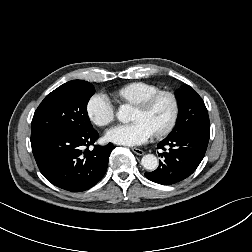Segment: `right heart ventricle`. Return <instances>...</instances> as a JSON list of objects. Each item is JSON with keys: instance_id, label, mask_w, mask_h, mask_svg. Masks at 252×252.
<instances>
[{"instance_id": "right-heart-ventricle-1", "label": "right heart ventricle", "mask_w": 252, "mask_h": 252, "mask_svg": "<svg viewBox=\"0 0 252 252\" xmlns=\"http://www.w3.org/2000/svg\"><path fill=\"white\" fill-rule=\"evenodd\" d=\"M159 91L160 88L153 84L133 82L119 88L114 94L123 101L137 105Z\"/></svg>"}]
</instances>
